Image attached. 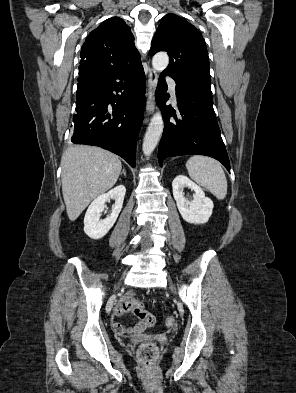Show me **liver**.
I'll return each instance as SVG.
<instances>
[{
  "instance_id": "liver-1",
  "label": "liver",
  "mask_w": 296,
  "mask_h": 393,
  "mask_svg": "<svg viewBox=\"0 0 296 393\" xmlns=\"http://www.w3.org/2000/svg\"><path fill=\"white\" fill-rule=\"evenodd\" d=\"M62 193L70 221L96 197L112 188L122 164L119 157L93 146H72L62 155Z\"/></svg>"
}]
</instances>
